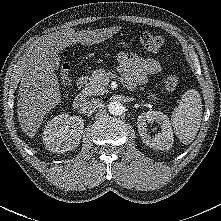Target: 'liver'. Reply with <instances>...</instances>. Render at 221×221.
Here are the masks:
<instances>
[{
  "label": "liver",
  "mask_w": 221,
  "mask_h": 221,
  "mask_svg": "<svg viewBox=\"0 0 221 221\" xmlns=\"http://www.w3.org/2000/svg\"><path fill=\"white\" fill-rule=\"evenodd\" d=\"M120 30L119 27L75 32L71 28L45 36L26 55L17 98L18 121L23 132L34 137L45 115L61 101L59 80L55 70L59 66V53L70 45L99 44Z\"/></svg>",
  "instance_id": "obj_1"
}]
</instances>
